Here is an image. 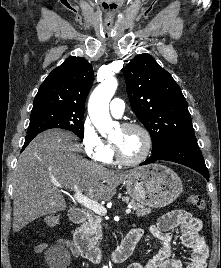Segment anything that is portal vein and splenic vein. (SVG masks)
Returning a JSON list of instances; mask_svg holds the SVG:
<instances>
[{
    "label": "portal vein and splenic vein",
    "instance_id": "portal-vein-and-splenic-vein-1",
    "mask_svg": "<svg viewBox=\"0 0 221 268\" xmlns=\"http://www.w3.org/2000/svg\"><path fill=\"white\" fill-rule=\"evenodd\" d=\"M57 186L62 188V186L59 184H57ZM73 198L78 203H80L81 205L85 206L86 208L92 210L96 214L105 215L107 213V209L103 205H101L97 201L92 200V199L88 198L87 196L83 195L81 190H76L75 194L73 195ZM131 208H132V206H129L126 209V211H125L126 214L131 213Z\"/></svg>",
    "mask_w": 221,
    "mask_h": 268
}]
</instances>
